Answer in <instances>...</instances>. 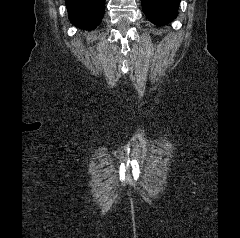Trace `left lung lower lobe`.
<instances>
[{
    "mask_svg": "<svg viewBox=\"0 0 240 238\" xmlns=\"http://www.w3.org/2000/svg\"><path fill=\"white\" fill-rule=\"evenodd\" d=\"M141 2L148 19L162 26L176 18L180 0H141Z\"/></svg>",
    "mask_w": 240,
    "mask_h": 238,
    "instance_id": "0a47b994",
    "label": "left lung lower lobe"
}]
</instances>
